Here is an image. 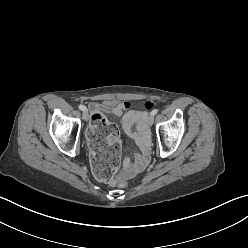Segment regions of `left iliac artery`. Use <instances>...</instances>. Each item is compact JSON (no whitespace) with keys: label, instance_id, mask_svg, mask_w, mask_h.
Wrapping results in <instances>:
<instances>
[{"label":"left iliac artery","instance_id":"obj_1","mask_svg":"<svg viewBox=\"0 0 248 248\" xmlns=\"http://www.w3.org/2000/svg\"><path fill=\"white\" fill-rule=\"evenodd\" d=\"M157 112H158V109H154V110H152V112H151V115H156L157 114Z\"/></svg>","mask_w":248,"mask_h":248}]
</instances>
